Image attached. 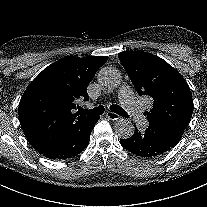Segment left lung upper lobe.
Instances as JSON below:
<instances>
[{
  "mask_svg": "<svg viewBox=\"0 0 207 207\" xmlns=\"http://www.w3.org/2000/svg\"><path fill=\"white\" fill-rule=\"evenodd\" d=\"M137 93L150 97L153 106L144 112L149 130L174 147L180 141L193 112L190 88L165 60L144 51L118 54Z\"/></svg>",
  "mask_w": 207,
  "mask_h": 207,
  "instance_id": "1",
  "label": "left lung upper lobe"
}]
</instances>
